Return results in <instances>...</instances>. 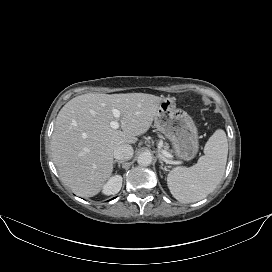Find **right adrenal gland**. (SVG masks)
Instances as JSON below:
<instances>
[{
	"label": "right adrenal gland",
	"instance_id": "1",
	"mask_svg": "<svg viewBox=\"0 0 272 272\" xmlns=\"http://www.w3.org/2000/svg\"><path fill=\"white\" fill-rule=\"evenodd\" d=\"M123 162H124V161H117V160H115V161H114V164L117 163V164H118V167L120 168V166H121V164H122Z\"/></svg>",
	"mask_w": 272,
	"mask_h": 272
}]
</instances>
